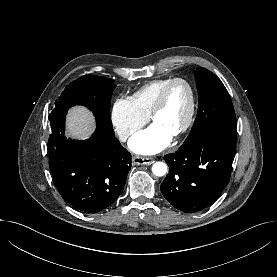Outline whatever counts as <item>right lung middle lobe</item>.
Masks as SVG:
<instances>
[{
	"label": "right lung middle lobe",
	"instance_id": "right-lung-middle-lobe-1",
	"mask_svg": "<svg viewBox=\"0 0 277 277\" xmlns=\"http://www.w3.org/2000/svg\"><path fill=\"white\" fill-rule=\"evenodd\" d=\"M115 87L114 81L109 78L94 75L80 77L65 88L49 120L74 104H84L93 111L97 121L112 127L110 101Z\"/></svg>",
	"mask_w": 277,
	"mask_h": 277
}]
</instances>
